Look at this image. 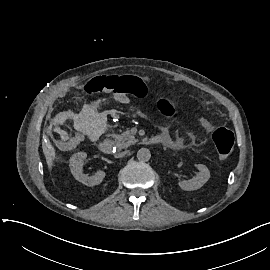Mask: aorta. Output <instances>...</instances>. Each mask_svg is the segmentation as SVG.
I'll list each match as a JSON object with an SVG mask.
<instances>
[{"instance_id":"762f6f07","label":"aorta","mask_w":270,"mask_h":270,"mask_svg":"<svg viewBox=\"0 0 270 270\" xmlns=\"http://www.w3.org/2000/svg\"><path fill=\"white\" fill-rule=\"evenodd\" d=\"M151 158V153L148 149L146 148H141L137 152V159L139 161L147 162Z\"/></svg>"}]
</instances>
